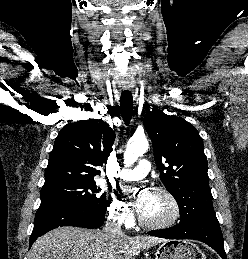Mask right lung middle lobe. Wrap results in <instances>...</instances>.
<instances>
[{
    "mask_svg": "<svg viewBox=\"0 0 248 259\" xmlns=\"http://www.w3.org/2000/svg\"><path fill=\"white\" fill-rule=\"evenodd\" d=\"M94 180H63L45 183L41 189V204L55 203L83 208L93 214H105L108 206L105 194H98Z\"/></svg>",
    "mask_w": 248,
    "mask_h": 259,
    "instance_id": "obj_1",
    "label": "right lung middle lobe"
}]
</instances>
